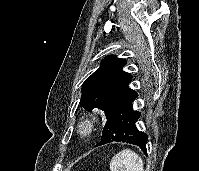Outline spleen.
Returning a JSON list of instances; mask_svg holds the SVG:
<instances>
[{
	"label": "spleen",
	"instance_id": "spleen-1",
	"mask_svg": "<svg viewBox=\"0 0 199 171\" xmlns=\"http://www.w3.org/2000/svg\"><path fill=\"white\" fill-rule=\"evenodd\" d=\"M111 171H144L141 157L130 149L122 150L112 157L110 161Z\"/></svg>",
	"mask_w": 199,
	"mask_h": 171
}]
</instances>
